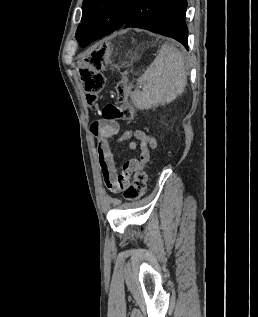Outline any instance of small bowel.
I'll list each match as a JSON object with an SVG mask.
<instances>
[{
	"mask_svg": "<svg viewBox=\"0 0 258 317\" xmlns=\"http://www.w3.org/2000/svg\"><path fill=\"white\" fill-rule=\"evenodd\" d=\"M91 132L97 139L98 162L105 184L113 192H121L129 185L133 173L141 171L150 161L156 148L155 138L139 129L127 130L122 133L117 142L130 141V147H139L137 158L124 163L120 172L112 152L109 139L119 134V125L112 120H97L91 125Z\"/></svg>",
	"mask_w": 258,
	"mask_h": 317,
	"instance_id": "1",
	"label": "small bowel"
}]
</instances>
